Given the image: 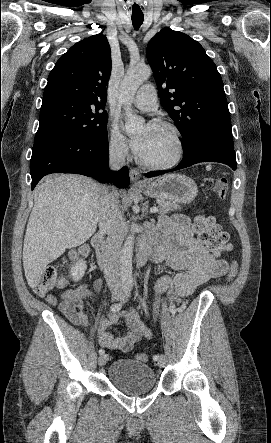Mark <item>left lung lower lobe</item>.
<instances>
[{"label":"left lung lower lobe","instance_id":"left-lung-lower-lobe-1","mask_svg":"<svg viewBox=\"0 0 271 443\" xmlns=\"http://www.w3.org/2000/svg\"><path fill=\"white\" fill-rule=\"evenodd\" d=\"M181 163L172 170L153 171L146 174L154 177L169 171L179 170L200 162H219L236 170V158L231 129H206L192 138V144L183 148Z\"/></svg>","mask_w":271,"mask_h":443}]
</instances>
